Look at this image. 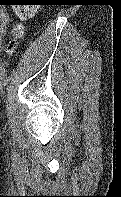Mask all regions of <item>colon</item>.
<instances>
[{"label": "colon", "mask_w": 121, "mask_h": 197, "mask_svg": "<svg viewBox=\"0 0 121 197\" xmlns=\"http://www.w3.org/2000/svg\"><path fill=\"white\" fill-rule=\"evenodd\" d=\"M36 0H15L13 11L20 21L30 19L36 11ZM24 27L17 23L12 29V39L7 47V54L10 56L14 53L18 40L23 36Z\"/></svg>", "instance_id": "1"}]
</instances>
